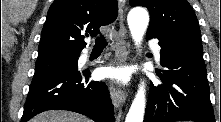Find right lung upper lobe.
<instances>
[{"instance_id": "cb5924a9", "label": "right lung upper lobe", "mask_w": 221, "mask_h": 122, "mask_svg": "<svg viewBox=\"0 0 221 122\" xmlns=\"http://www.w3.org/2000/svg\"><path fill=\"white\" fill-rule=\"evenodd\" d=\"M117 0H55L50 6L38 47V58L80 55L86 46L83 34L96 36L112 23Z\"/></svg>"}]
</instances>
